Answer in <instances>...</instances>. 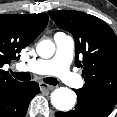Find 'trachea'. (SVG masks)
I'll return each mask as SVG.
<instances>
[{
	"mask_svg": "<svg viewBox=\"0 0 117 117\" xmlns=\"http://www.w3.org/2000/svg\"><path fill=\"white\" fill-rule=\"evenodd\" d=\"M11 75L16 78L17 80L21 81H29L31 79V76L27 72H11ZM44 82L49 84V85H57L58 80L53 77H47L44 79Z\"/></svg>",
	"mask_w": 117,
	"mask_h": 117,
	"instance_id": "obj_1",
	"label": "trachea"
}]
</instances>
